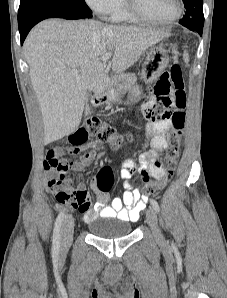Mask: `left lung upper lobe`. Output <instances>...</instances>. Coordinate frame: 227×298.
<instances>
[{"instance_id":"obj_1","label":"left lung upper lobe","mask_w":227,"mask_h":298,"mask_svg":"<svg viewBox=\"0 0 227 298\" xmlns=\"http://www.w3.org/2000/svg\"><path fill=\"white\" fill-rule=\"evenodd\" d=\"M185 15L179 23L189 29H203V0H183Z\"/></svg>"}]
</instances>
